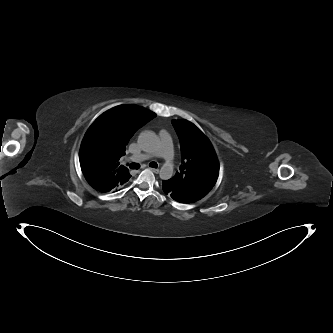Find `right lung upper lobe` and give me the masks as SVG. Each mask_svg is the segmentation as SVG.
I'll return each mask as SVG.
<instances>
[{
	"label": "right lung upper lobe",
	"instance_id": "1",
	"mask_svg": "<svg viewBox=\"0 0 333 333\" xmlns=\"http://www.w3.org/2000/svg\"><path fill=\"white\" fill-rule=\"evenodd\" d=\"M155 116L154 112L136 105H120L104 112L90 126L85 137L91 136L97 145L89 164L95 180L105 190L119 188L129 180L131 175L119 159L134 133Z\"/></svg>",
	"mask_w": 333,
	"mask_h": 333
}]
</instances>
